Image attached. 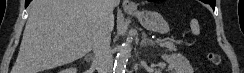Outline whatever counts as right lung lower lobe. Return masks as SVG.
Masks as SVG:
<instances>
[{
    "instance_id": "98d812e1",
    "label": "right lung lower lobe",
    "mask_w": 244,
    "mask_h": 73,
    "mask_svg": "<svg viewBox=\"0 0 244 73\" xmlns=\"http://www.w3.org/2000/svg\"><path fill=\"white\" fill-rule=\"evenodd\" d=\"M31 1H32V0H26V1H25V7H27Z\"/></svg>"
}]
</instances>
